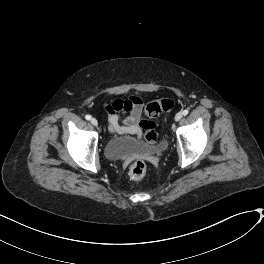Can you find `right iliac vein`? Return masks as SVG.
<instances>
[{
	"instance_id": "1",
	"label": "right iliac vein",
	"mask_w": 264,
	"mask_h": 264,
	"mask_svg": "<svg viewBox=\"0 0 264 264\" xmlns=\"http://www.w3.org/2000/svg\"><path fill=\"white\" fill-rule=\"evenodd\" d=\"M92 125L97 126L98 125V121L95 118H92L91 121Z\"/></svg>"
}]
</instances>
